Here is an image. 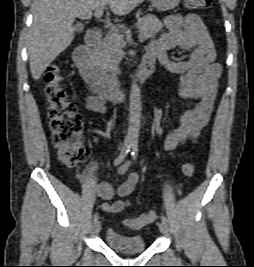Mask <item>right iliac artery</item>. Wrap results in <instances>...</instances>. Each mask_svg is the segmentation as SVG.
<instances>
[{
    "instance_id": "1",
    "label": "right iliac artery",
    "mask_w": 254,
    "mask_h": 267,
    "mask_svg": "<svg viewBox=\"0 0 254 267\" xmlns=\"http://www.w3.org/2000/svg\"><path fill=\"white\" fill-rule=\"evenodd\" d=\"M131 147H132L131 141H129V140L125 141L124 146H123V148H122L119 156L114 161V166H118L120 163L123 162V160L125 159V157L128 155ZM98 218H99L98 213H95L94 214V217H93L94 222L97 221Z\"/></svg>"
}]
</instances>
